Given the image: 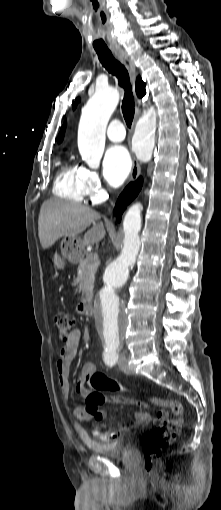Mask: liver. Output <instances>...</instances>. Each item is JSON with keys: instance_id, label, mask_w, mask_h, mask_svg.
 Returning <instances> with one entry per match:
<instances>
[{"instance_id": "obj_1", "label": "liver", "mask_w": 221, "mask_h": 510, "mask_svg": "<svg viewBox=\"0 0 221 510\" xmlns=\"http://www.w3.org/2000/svg\"><path fill=\"white\" fill-rule=\"evenodd\" d=\"M100 214L88 206L52 198L45 201L40 209L38 231L43 249L51 247L61 237H75L93 226L84 234L82 246L102 240L106 231Z\"/></svg>"}]
</instances>
